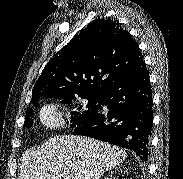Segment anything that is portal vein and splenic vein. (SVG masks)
<instances>
[{
	"label": "portal vein and splenic vein",
	"mask_w": 183,
	"mask_h": 179,
	"mask_svg": "<svg viewBox=\"0 0 183 179\" xmlns=\"http://www.w3.org/2000/svg\"><path fill=\"white\" fill-rule=\"evenodd\" d=\"M65 179H70V177H66Z\"/></svg>",
	"instance_id": "portal-vein-and-splenic-vein-1"
}]
</instances>
